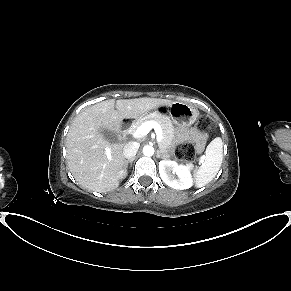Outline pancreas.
Wrapping results in <instances>:
<instances>
[{
    "instance_id": "cf45deb5",
    "label": "pancreas",
    "mask_w": 291,
    "mask_h": 291,
    "mask_svg": "<svg viewBox=\"0 0 291 291\" xmlns=\"http://www.w3.org/2000/svg\"><path fill=\"white\" fill-rule=\"evenodd\" d=\"M146 121H155L162 128V141L159 143L161 151L166 152L171 145L174 138V127L168 116L161 115L158 113H150L139 118L135 123L132 124L130 130L135 132L139 126H141Z\"/></svg>"
}]
</instances>
